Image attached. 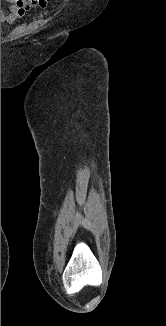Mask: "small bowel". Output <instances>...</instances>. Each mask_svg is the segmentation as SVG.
Segmentation results:
<instances>
[{"label": "small bowel", "mask_w": 166, "mask_h": 326, "mask_svg": "<svg viewBox=\"0 0 166 326\" xmlns=\"http://www.w3.org/2000/svg\"><path fill=\"white\" fill-rule=\"evenodd\" d=\"M8 4L6 9H1V21L13 22L22 17L29 10H44L48 0H2Z\"/></svg>", "instance_id": "c3829d8e"}]
</instances>
